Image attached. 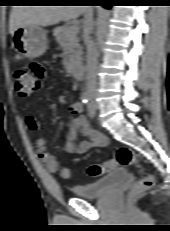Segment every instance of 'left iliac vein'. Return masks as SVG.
Instances as JSON below:
<instances>
[{"label": "left iliac vein", "mask_w": 170, "mask_h": 231, "mask_svg": "<svg viewBox=\"0 0 170 231\" xmlns=\"http://www.w3.org/2000/svg\"><path fill=\"white\" fill-rule=\"evenodd\" d=\"M97 105L94 101H91L88 107L89 115L94 118L96 113Z\"/></svg>", "instance_id": "4c4485c4"}]
</instances>
